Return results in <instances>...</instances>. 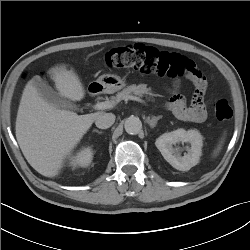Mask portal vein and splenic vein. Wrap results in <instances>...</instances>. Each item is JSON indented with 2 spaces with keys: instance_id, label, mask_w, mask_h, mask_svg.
I'll return each mask as SVG.
<instances>
[{
  "instance_id": "obj_1",
  "label": "portal vein and splenic vein",
  "mask_w": 250,
  "mask_h": 250,
  "mask_svg": "<svg viewBox=\"0 0 250 250\" xmlns=\"http://www.w3.org/2000/svg\"><path fill=\"white\" fill-rule=\"evenodd\" d=\"M126 99L133 100V101H138L140 103L145 104V101L143 99H141L140 97H137V96L129 95L128 97H126ZM116 104H117V102H115V101L98 102L93 106V108L95 110L110 109V108H113Z\"/></svg>"
}]
</instances>
